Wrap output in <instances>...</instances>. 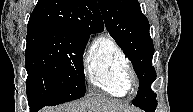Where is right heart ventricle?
I'll use <instances>...</instances> for the list:
<instances>
[{
	"mask_svg": "<svg viewBox=\"0 0 193 112\" xmlns=\"http://www.w3.org/2000/svg\"><path fill=\"white\" fill-rule=\"evenodd\" d=\"M127 56L120 44L110 35L96 37L84 58L88 83L114 97H124L130 91L126 70Z\"/></svg>",
	"mask_w": 193,
	"mask_h": 112,
	"instance_id": "1",
	"label": "right heart ventricle"
}]
</instances>
